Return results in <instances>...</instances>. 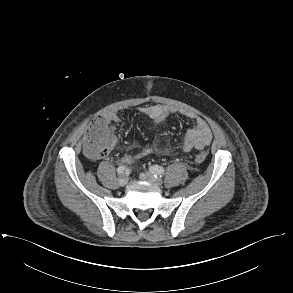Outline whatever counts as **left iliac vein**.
I'll return each instance as SVG.
<instances>
[{
    "label": "left iliac vein",
    "instance_id": "left-iliac-vein-1",
    "mask_svg": "<svg viewBox=\"0 0 293 293\" xmlns=\"http://www.w3.org/2000/svg\"><path fill=\"white\" fill-rule=\"evenodd\" d=\"M140 178L142 180L149 181V182L153 183L156 186H160L162 184V179L156 178L152 173H149V172L141 173Z\"/></svg>",
    "mask_w": 293,
    "mask_h": 293
}]
</instances>
